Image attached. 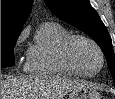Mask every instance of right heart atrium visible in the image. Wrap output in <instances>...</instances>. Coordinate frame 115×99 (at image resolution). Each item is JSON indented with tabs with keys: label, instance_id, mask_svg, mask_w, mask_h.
Wrapping results in <instances>:
<instances>
[{
	"label": "right heart atrium",
	"instance_id": "1",
	"mask_svg": "<svg viewBox=\"0 0 115 99\" xmlns=\"http://www.w3.org/2000/svg\"><path fill=\"white\" fill-rule=\"evenodd\" d=\"M27 34H28V30L27 29H24L20 35L18 36L17 40H16V47H18L27 37Z\"/></svg>",
	"mask_w": 115,
	"mask_h": 99
}]
</instances>
